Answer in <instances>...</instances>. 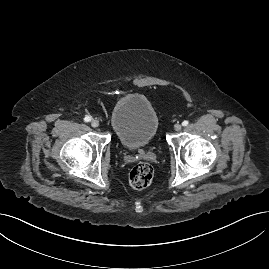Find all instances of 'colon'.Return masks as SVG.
Wrapping results in <instances>:
<instances>
[{
	"label": "colon",
	"instance_id": "1",
	"mask_svg": "<svg viewBox=\"0 0 269 269\" xmlns=\"http://www.w3.org/2000/svg\"><path fill=\"white\" fill-rule=\"evenodd\" d=\"M153 179V169L147 163L135 165L129 173V183L136 190H143L150 186Z\"/></svg>",
	"mask_w": 269,
	"mask_h": 269
}]
</instances>
